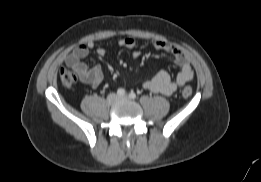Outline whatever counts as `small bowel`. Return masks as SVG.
I'll return each instance as SVG.
<instances>
[{"mask_svg": "<svg viewBox=\"0 0 261 182\" xmlns=\"http://www.w3.org/2000/svg\"><path fill=\"white\" fill-rule=\"evenodd\" d=\"M136 39L133 37H126L118 41V46L127 49H134L136 47ZM151 45L158 50L164 51L171 55L176 64L180 67V71L175 79H172L167 71L158 72L152 79L144 82V89L164 95H171L177 88L183 86L193 78V70L189 61V57L178 47L159 39L151 42ZM95 47L93 41L80 44L67 57L66 64L73 69L81 78V80L91 86H99L103 80L104 75L101 66L97 65L89 67L83 60L88 56L89 51ZM98 56L103 57L106 50L103 47L96 49ZM133 58H138L140 52L134 50L132 52Z\"/></svg>", "mask_w": 261, "mask_h": 182, "instance_id": "small-bowel-1", "label": "small bowel"}]
</instances>
